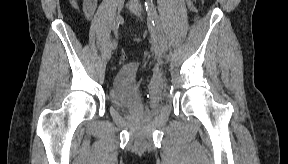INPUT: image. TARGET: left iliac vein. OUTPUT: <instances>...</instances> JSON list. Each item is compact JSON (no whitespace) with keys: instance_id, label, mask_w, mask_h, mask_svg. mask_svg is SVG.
<instances>
[{"instance_id":"left-iliac-vein-1","label":"left iliac vein","mask_w":288,"mask_h":164,"mask_svg":"<svg viewBox=\"0 0 288 164\" xmlns=\"http://www.w3.org/2000/svg\"><path fill=\"white\" fill-rule=\"evenodd\" d=\"M134 11L138 12V8L136 7ZM146 22H147L149 32L151 34V38H152L154 44L156 45L158 52L162 56H164L166 53V50H167V44H166L164 37L160 33L159 29L152 24V18L147 17Z\"/></svg>"}]
</instances>
